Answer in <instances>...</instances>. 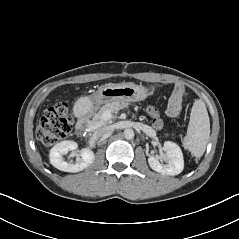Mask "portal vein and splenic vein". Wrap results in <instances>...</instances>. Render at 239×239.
Returning <instances> with one entry per match:
<instances>
[{
  "mask_svg": "<svg viewBox=\"0 0 239 239\" xmlns=\"http://www.w3.org/2000/svg\"><path fill=\"white\" fill-rule=\"evenodd\" d=\"M111 116H112L111 111H109V110L105 111V112L102 114L101 119H100L99 121L95 122L94 124H92V125L90 126V128H91V129H97V128L101 127L103 124H105V122H107L108 120H110Z\"/></svg>",
  "mask_w": 239,
  "mask_h": 239,
  "instance_id": "18ae733b",
  "label": "portal vein and splenic vein"
}]
</instances>
